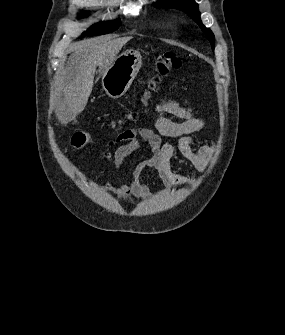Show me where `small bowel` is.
I'll return each mask as SVG.
<instances>
[{
	"label": "small bowel",
	"mask_w": 285,
	"mask_h": 335,
	"mask_svg": "<svg viewBox=\"0 0 285 335\" xmlns=\"http://www.w3.org/2000/svg\"><path fill=\"white\" fill-rule=\"evenodd\" d=\"M170 113L182 120L180 123L164 117ZM154 130L147 127H133L118 133L108 141L103 151V158L110 159L109 149L114 145L126 142L119 147L112 158L117 166H123L125 160L135 152L146 149L150 156L138 162L132 171V180L118 186L105 185V189L125 201L145 200L149 197V189L142 181V173L146 168L156 169L164 184L169 188L183 186L190 181L177 174L173 167V159L180 154L196 169L204 170L212 155V148L199 145L191 135L205 127V121L197 115V111L183 97L159 99L154 109ZM160 135L174 137L175 143L162 144Z\"/></svg>",
	"instance_id": "c3829d8e"
}]
</instances>
